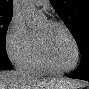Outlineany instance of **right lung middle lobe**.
<instances>
[{"mask_svg": "<svg viewBox=\"0 0 89 89\" xmlns=\"http://www.w3.org/2000/svg\"><path fill=\"white\" fill-rule=\"evenodd\" d=\"M11 18L12 10L0 8V53L5 50V36Z\"/></svg>", "mask_w": 89, "mask_h": 89, "instance_id": "dd1d6c3e", "label": "right lung middle lobe"}]
</instances>
